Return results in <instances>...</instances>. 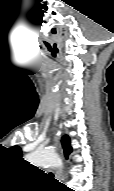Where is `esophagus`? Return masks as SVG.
Masks as SVG:
<instances>
[{"instance_id":"obj_1","label":"esophagus","mask_w":114,"mask_h":191,"mask_svg":"<svg viewBox=\"0 0 114 191\" xmlns=\"http://www.w3.org/2000/svg\"><path fill=\"white\" fill-rule=\"evenodd\" d=\"M56 178H57L58 180H60V178H61L59 171L56 172Z\"/></svg>"}]
</instances>
